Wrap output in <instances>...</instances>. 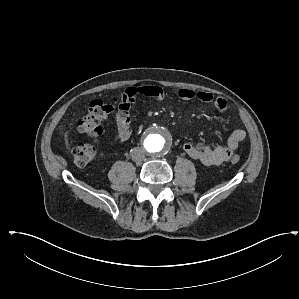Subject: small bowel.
<instances>
[{"label":"small bowel","mask_w":299,"mask_h":299,"mask_svg":"<svg viewBox=\"0 0 299 299\" xmlns=\"http://www.w3.org/2000/svg\"><path fill=\"white\" fill-rule=\"evenodd\" d=\"M178 96L185 101L197 98L204 103H213L222 115H225L228 110L227 101L223 97H214L206 91L195 92L189 88H180ZM139 97L150 100H162L165 97V93L158 86L130 87L121 92L119 96L112 98L113 103L116 105L114 139L119 143L128 141L132 136L131 124L135 116V101ZM246 137L247 133L245 130L236 129L229 136L226 146L212 147L203 143L195 145L185 143L183 150L189 157L205 166H218L230 159L233 152L237 150Z\"/></svg>","instance_id":"obj_1"}]
</instances>
